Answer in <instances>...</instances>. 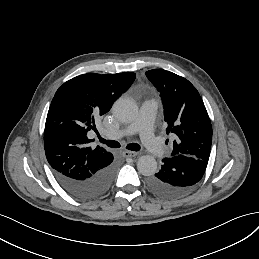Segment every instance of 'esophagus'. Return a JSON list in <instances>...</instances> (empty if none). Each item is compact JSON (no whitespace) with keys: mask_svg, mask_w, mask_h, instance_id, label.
I'll return each instance as SVG.
<instances>
[{"mask_svg":"<svg viewBox=\"0 0 259 259\" xmlns=\"http://www.w3.org/2000/svg\"><path fill=\"white\" fill-rule=\"evenodd\" d=\"M122 155H123V157L130 158V157H135V156H137V155H138V152L123 151Z\"/></svg>","mask_w":259,"mask_h":259,"instance_id":"obj_1","label":"esophagus"}]
</instances>
